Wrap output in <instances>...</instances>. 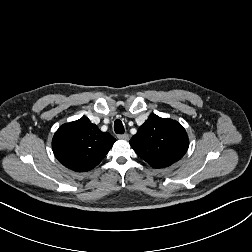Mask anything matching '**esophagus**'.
Segmentation results:
<instances>
[{"label":"esophagus","mask_w":252,"mask_h":252,"mask_svg":"<svg viewBox=\"0 0 252 252\" xmlns=\"http://www.w3.org/2000/svg\"><path fill=\"white\" fill-rule=\"evenodd\" d=\"M118 138L121 140H129V135L128 134H121V135H118Z\"/></svg>","instance_id":"obj_1"}]
</instances>
